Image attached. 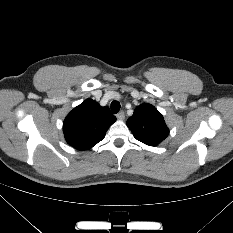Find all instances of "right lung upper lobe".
<instances>
[{
  "instance_id": "obj_1",
  "label": "right lung upper lobe",
  "mask_w": 233,
  "mask_h": 233,
  "mask_svg": "<svg viewBox=\"0 0 233 233\" xmlns=\"http://www.w3.org/2000/svg\"><path fill=\"white\" fill-rule=\"evenodd\" d=\"M116 121L108 107L100 106L92 99H86L65 118L63 132L65 139L78 150H88L100 142L109 126Z\"/></svg>"
}]
</instances>
